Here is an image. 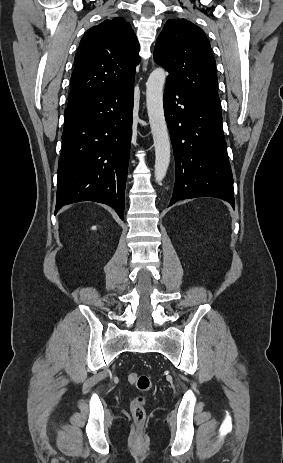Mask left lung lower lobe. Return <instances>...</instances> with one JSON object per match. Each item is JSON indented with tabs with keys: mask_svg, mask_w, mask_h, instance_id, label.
I'll use <instances>...</instances> for the list:
<instances>
[{
	"mask_svg": "<svg viewBox=\"0 0 283 463\" xmlns=\"http://www.w3.org/2000/svg\"><path fill=\"white\" fill-rule=\"evenodd\" d=\"M173 146L176 180L169 206L209 196L234 208L233 176L223 134L222 111L167 78L163 97Z\"/></svg>",
	"mask_w": 283,
	"mask_h": 463,
	"instance_id": "0a47b994",
	"label": "left lung lower lobe"
}]
</instances>
